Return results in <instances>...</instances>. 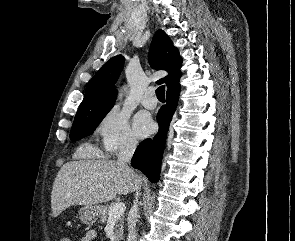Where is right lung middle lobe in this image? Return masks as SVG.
I'll list each match as a JSON object with an SVG mask.
<instances>
[{"label":"right lung middle lobe","instance_id":"obj_1","mask_svg":"<svg viewBox=\"0 0 295 241\" xmlns=\"http://www.w3.org/2000/svg\"><path fill=\"white\" fill-rule=\"evenodd\" d=\"M113 105L114 103H110L96 108L78 110L70 132V139L79 140L92 134Z\"/></svg>","mask_w":295,"mask_h":241}]
</instances>
